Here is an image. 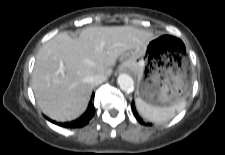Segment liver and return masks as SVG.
<instances>
[{
	"label": "liver",
	"mask_w": 225,
	"mask_h": 155,
	"mask_svg": "<svg viewBox=\"0 0 225 155\" xmlns=\"http://www.w3.org/2000/svg\"><path fill=\"white\" fill-rule=\"evenodd\" d=\"M152 32L131 26L88 27L73 39L61 32L38 51L32 89L44 114L57 121L78 118L86 110L96 74L109 75L126 51L146 49Z\"/></svg>",
	"instance_id": "obj_1"
}]
</instances>
